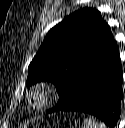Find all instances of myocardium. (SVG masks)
Segmentation results:
<instances>
[{
  "label": "myocardium",
  "instance_id": "myocardium-1",
  "mask_svg": "<svg viewBox=\"0 0 125 128\" xmlns=\"http://www.w3.org/2000/svg\"><path fill=\"white\" fill-rule=\"evenodd\" d=\"M55 98V91L41 83L36 85L27 95L28 105L34 111L48 108Z\"/></svg>",
  "mask_w": 125,
  "mask_h": 128
}]
</instances>
